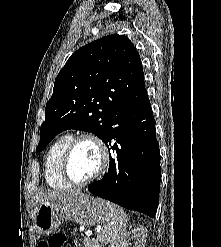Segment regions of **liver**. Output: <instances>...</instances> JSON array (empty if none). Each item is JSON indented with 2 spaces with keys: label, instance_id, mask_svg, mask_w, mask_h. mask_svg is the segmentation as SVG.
I'll return each mask as SVG.
<instances>
[{
  "label": "liver",
  "instance_id": "obj_1",
  "mask_svg": "<svg viewBox=\"0 0 221 247\" xmlns=\"http://www.w3.org/2000/svg\"><path fill=\"white\" fill-rule=\"evenodd\" d=\"M77 194H79V191H67V192L48 191V192L39 193L36 196V205H37L36 210L38 209V206L41 203L56 204L68 200Z\"/></svg>",
  "mask_w": 221,
  "mask_h": 247
}]
</instances>
